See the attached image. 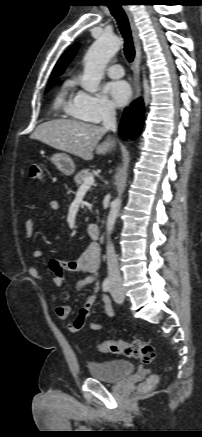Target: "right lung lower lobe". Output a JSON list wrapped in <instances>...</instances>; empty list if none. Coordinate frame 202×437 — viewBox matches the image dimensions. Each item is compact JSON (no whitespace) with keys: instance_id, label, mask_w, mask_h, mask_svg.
I'll list each match as a JSON object with an SVG mask.
<instances>
[{"instance_id":"98d812e1","label":"right lung lower lobe","mask_w":202,"mask_h":437,"mask_svg":"<svg viewBox=\"0 0 202 437\" xmlns=\"http://www.w3.org/2000/svg\"><path fill=\"white\" fill-rule=\"evenodd\" d=\"M144 116V105L142 99H138L126 107L122 120L119 126V133L121 137L134 138L140 133Z\"/></svg>"}]
</instances>
